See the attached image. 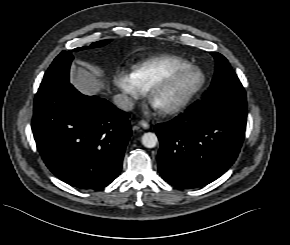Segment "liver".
I'll use <instances>...</instances> for the list:
<instances>
[{
    "label": "liver",
    "mask_w": 290,
    "mask_h": 245,
    "mask_svg": "<svg viewBox=\"0 0 290 245\" xmlns=\"http://www.w3.org/2000/svg\"><path fill=\"white\" fill-rule=\"evenodd\" d=\"M71 82L82 94L96 95L105 88L104 81L98 72L85 66L74 67L71 73Z\"/></svg>",
    "instance_id": "1"
}]
</instances>
